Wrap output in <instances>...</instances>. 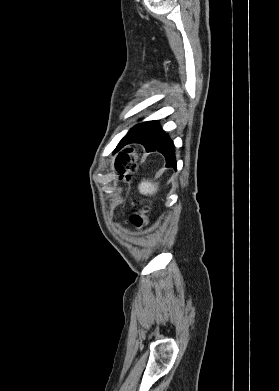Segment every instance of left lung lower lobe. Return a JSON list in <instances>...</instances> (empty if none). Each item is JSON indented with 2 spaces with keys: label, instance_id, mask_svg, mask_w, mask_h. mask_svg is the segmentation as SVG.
I'll return each mask as SVG.
<instances>
[{
  "label": "left lung lower lobe",
  "instance_id": "left-lung-lower-lobe-1",
  "mask_svg": "<svg viewBox=\"0 0 279 391\" xmlns=\"http://www.w3.org/2000/svg\"><path fill=\"white\" fill-rule=\"evenodd\" d=\"M129 143L143 144L147 152L155 150L160 151L166 158V167L176 168L173 142L158 123L140 134L129 135L124 138L122 143L119 145V148Z\"/></svg>",
  "mask_w": 279,
  "mask_h": 391
}]
</instances>
